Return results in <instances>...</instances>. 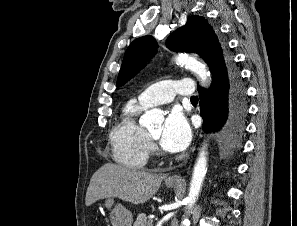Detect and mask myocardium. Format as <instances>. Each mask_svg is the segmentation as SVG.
<instances>
[{"mask_svg": "<svg viewBox=\"0 0 297 226\" xmlns=\"http://www.w3.org/2000/svg\"><path fill=\"white\" fill-rule=\"evenodd\" d=\"M147 134H148L149 140L155 141V138L150 133H147Z\"/></svg>", "mask_w": 297, "mask_h": 226, "instance_id": "obj_1", "label": "myocardium"}]
</instances>
